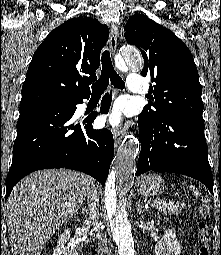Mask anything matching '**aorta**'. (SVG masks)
<instances>
[{
    "mask_svg": "<svg viewBox=\"0 0 221 255\" xmlns=\"http://www.w3.org/2000/svg\"><path fill=\"white\" fill-rule=\"evenodd\" d=\"M117 65L121 68L129 66L141 69L143 59L136 49L127 47L117 57ZM138 155L139 145L133 139L126 141L116 156L115 167L105 184V204L119 255L135 253L131 224L126 211V197L136 172Z\"/></svg>",
    "mask_w": 221,
    "mask_h": 255,
    "instance_id": "762f6f07",
    "label": "aorta"
}]
</instances>
